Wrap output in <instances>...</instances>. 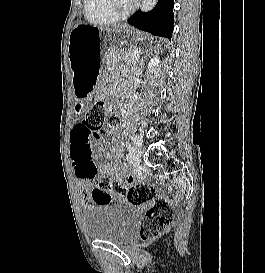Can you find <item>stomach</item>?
<instances>
[{
  "label": "stomach",
  "instance_id": "stomach-1",
  "mask_svg": "<svg viewBox=\"0 0 265 273\" xmlns=\"http://www.w3.org/2000/svg\"><path fill=\"white\" fill-rule=\"evenodd\" d=\"M160 44V40H151V35H137L129 27L104 29L76 24L68 41L76 95H91L98 78H108L117 64H132L137 56H145V51L138 49H155Z\"/></svg>",
  "mask_w": 265,
  "mask_h": 273
}]
</instances>
